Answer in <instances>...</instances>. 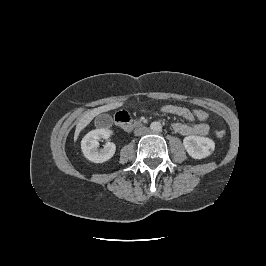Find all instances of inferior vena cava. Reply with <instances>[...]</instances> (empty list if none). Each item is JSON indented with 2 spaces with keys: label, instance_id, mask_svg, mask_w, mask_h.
Segmentation results:
<instances>
[{
  "label": "inferior vena cava",
  "instance_id": "obj_1",
  "mask_svg": "<svg viewBox=\"0 0 266 266\" xmlns=\"http://www.w3.org/2000/svg\"><path fill=\"white\" fill-rule=\"evenodd\" d=\"M148 131H149V129L147 127H140L138 129H136L134 133L136 136H139V135L147 134Z\"/></svg>",
  "mask_w": 266,
  "mask_h": 266
}]
</instances>
